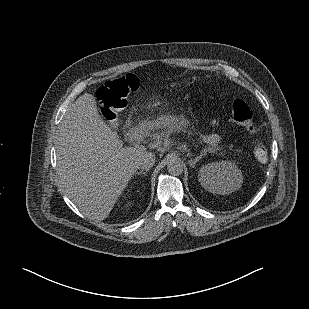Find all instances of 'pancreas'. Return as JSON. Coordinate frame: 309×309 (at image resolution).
<instances>
[{
  "instance_id": "1",
  "label": "pancreas",
  "mask_w": 309,
  "mask_h": 309,
  "mask_svg": "<svg viewBox=\"0 0 309 309\" xmlns=\"http://www.w3.org/2000/svg\"><path fill=\"white\" fill-rule=\"evenodd\" d=\"M169 135H170V131L169 130H164L162 132H156V133H151L150 134V138L152 141H166L167 139H169Z\"/></svg>"
}]
</instances>
